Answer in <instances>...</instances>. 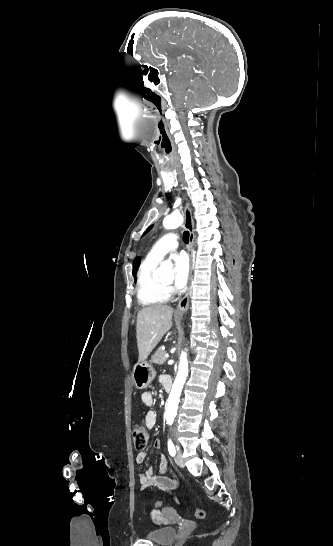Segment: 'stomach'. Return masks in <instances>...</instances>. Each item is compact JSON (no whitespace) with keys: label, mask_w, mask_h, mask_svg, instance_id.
I'll return each instance as SVG.
<instances>
[{"label":"stomach","mask_w":333,"mask_h":546,"mask_svg":"<svg viewBox=\"0 0 333 546\" xmlns=\"http://www.w3.org/2000/svg\"><path fill=\"white\" fill-rule=\"evenodd\" d=\"M156 375L153 365L146 361H138L132 372L133 384L138 389H145Z\"/></svg>","instance_id":"obj_1"}]
</instances>
